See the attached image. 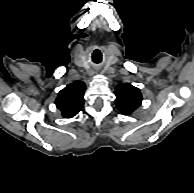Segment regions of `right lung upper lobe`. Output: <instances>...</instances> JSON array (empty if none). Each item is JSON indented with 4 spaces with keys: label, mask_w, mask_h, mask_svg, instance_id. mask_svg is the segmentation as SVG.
I'll use <instances>...</instances> for the list:
<instances>
[{
    "label": "right lung upper lobe",
    "mask_w": 194,
    "mask_h": 193,
    "mask_svg": "<svg viewBox=\"0 0 194 193\" xmlns=\"http://www.w3.org/2000/svg\"><path fill=\"white\" fill-rule=\"evenodd\" d=\"M84 90L85 84L76 81L60 91L55 103L65 118L75 116L82 109L84 104Z\"/></svg>",
    "instance_id": "cb5924a9"
}]
</instances>
